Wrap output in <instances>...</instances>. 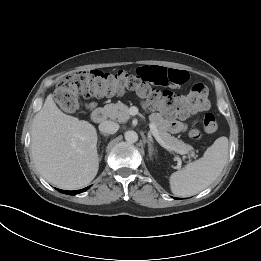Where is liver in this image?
<instances>
[{
    "mask_svg": "<svg viewBox=\"0 0 261 261\" xmlns=\"http://www.w3.org/2000/svg\"><path fill=\"white\" fill-rule=\"evenodd\" d=\"M96 128L64 114L49 94L31 128V156L51 184L68 190L88 185L97 175Z\"/></svg>",
    "mask_w": 261,
    "mask_h": 261,
    "instance_id": "6515ba94",
    "label": "liver"
}]
</instances>
